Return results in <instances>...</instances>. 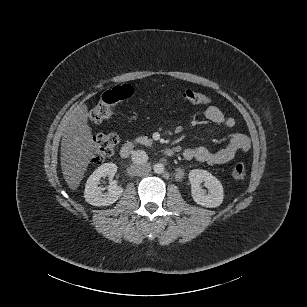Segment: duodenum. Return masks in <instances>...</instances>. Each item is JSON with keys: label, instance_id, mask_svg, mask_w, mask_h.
Returning a JSON list of instances; mask_svg holds the SVG:
<instances>
[{"label": "duodenum", "instance_id": "obj_1", "mask_svg": "<svg viewBox=\"0 0 307 307\" xmlns=\"http://www.w3.org/2000/svg\"><path fill=\"white\" fill-rule=\"evenodd\" d=\"M137 143L134 141L125 142L120 149V155L122 158H128L133 150L136 148ZM165 155L168 157H173L176 151L173 148H166L164 151Z\"/></svg>", "mask_w": 307, "mask_h": 307}]
</instances>
